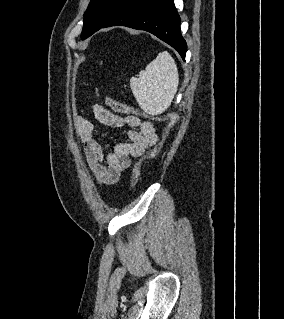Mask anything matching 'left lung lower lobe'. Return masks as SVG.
Returning <instances> with one entry per match:
<instances>
[{
	"mask_svg": "<svg viewBox=\"0 0 284 319\" xmlns=\"http://www.w3.org/2000/svg\"><path fill=\"white\" fill-rule=\"evenodd\" d=\"M118 25L154 34L185 60L187 45L181 35L180 17L173 0H124L102 28Z\"/></svg>",
	"mask_w": 284,
	"mask_h": 319,
	"instance_id": "0a47b994",
	"label": "left lung lower lobe"
}]
</instances>
